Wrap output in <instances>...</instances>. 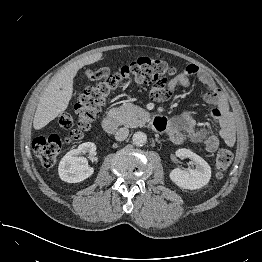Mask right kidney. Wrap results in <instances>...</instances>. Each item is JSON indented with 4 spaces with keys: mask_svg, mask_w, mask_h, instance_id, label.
Here are the masks:
<instances>
[{
    "mask_svg": "<svg viewBox=\"0 0 262 262\" xmlns=\"http://www.w3.org/2000/svg\"><path fill=\"white\" fill-rule=\"evenodd\" d=\"M96 151V145L86 142L76 149L69 151L60 161L58 173L61 180L68 183L81 182L93 174V168L88 167L86 153L92 154Z\"/></svg>",
    "mask_w": 262,
    "mask_h": 262,
    "instance_id": "ca27d5eb",
    "label": "right kidney"
}]
</instances>
